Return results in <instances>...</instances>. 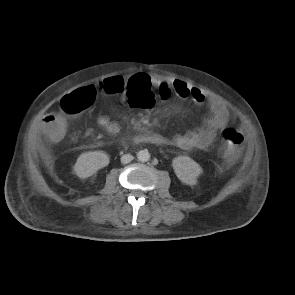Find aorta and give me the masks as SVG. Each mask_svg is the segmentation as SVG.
Segmentation results:
<instances>
[{"label": "aorta", "mask_w": 295, "mask_h": 295, "mask_svg": "<svg viewBox=\"0 0 295 295\" xmlns=\"http://www.w3.org/2000/svg\"><path fill=\"white\" fill-rule=\"evenodd\" d=\"M137 158L141 162H146L149 160L150 154H149L148 150H146V149L140 150L137 154Z\"/></svg>", "instance_id": "obj_1"}]
</instances>
